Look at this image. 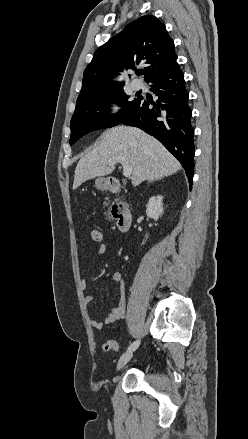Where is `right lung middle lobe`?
I'll use <instances>...</instances> for the list:
<instances>
[{"label":"right lung middle lobe","mask_w":248,"mask_h":439,"mask_svg":"<svg viewBox=\"0 0 248 439\" xmlns=\"http://www.w3.org/2000/svg\"><path fill=\"white\" fill-rule=\"evenodd\" d=\"M129 98L120 88L76 107L70 123V145L91 131L119 124L138 101V98L134 100ZM110 103H119L123 109L118 114L110 116V110L107 109Z\"/></svg>","instance_id":"1"}]
</instances>
